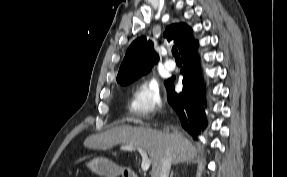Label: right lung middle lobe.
Returning a JSON list of instances; mask_svg holds the SVG:
<instances>
[{
	"label": "right lung middle lobe",
	"mask_w": 287,
	"mask_h": 177,
	"mask_svg": "<svg viewBox=\"0 0 287 177\" xmlns=\"http://www.w3.org/2000/svg\"><path fill=\"white\" fill-rule=\"evenodd\" d=\"M136 80V79H135ZM134 80H130V81H126V82H122L120 83L121 85H128L130 83H132Z\"/></svg>",
	"instance_id": "obj_1"
}]
</instances>
